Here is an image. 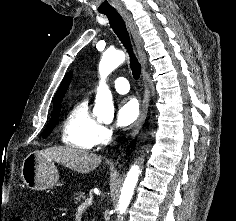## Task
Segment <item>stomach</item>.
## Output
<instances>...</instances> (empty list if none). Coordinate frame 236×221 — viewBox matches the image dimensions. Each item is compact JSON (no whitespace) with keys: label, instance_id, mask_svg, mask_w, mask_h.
Returning a JSON list of instances; mask_svg holds the SVG:
<instances>
[{"label":"stomach","instance_id":"stomach-1","mask_svg":"<svg viewBox=\"0 0 236 221\" xmlns=\"http://www.w3.org/2000/svg\"><path fill=\"white\" fill-rule=\"evenodd\" d=\"M21 177L28 188L46 190L55 186L59 174L53 160L36 151L23 160Z\"/></svg>","mask_w":236,"mask_h":221}]
</instances>
